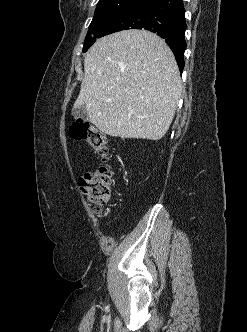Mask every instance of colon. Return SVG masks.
<instances>
[{
  "instance_id": "5ec220e1",
  "label": "colon",
  "mask_w": 247,
  "mask_h": 332,
  "mask_svg": "<svg viewBox=\"0 0 247 332\" xmlns=\"http://www.w3.org/2000/svg\"><path fill=\"white\" fill-rule=\"evenodd\" d=\"M70 135L76 140H84L103 161L100 166L85 174L79 181L82 192L95 211L102 214L104 206L110 200L113 186L112 169L107 164L108 141L99 129L82 119L72 123Z\"/></svg>"
}]
</instances>
